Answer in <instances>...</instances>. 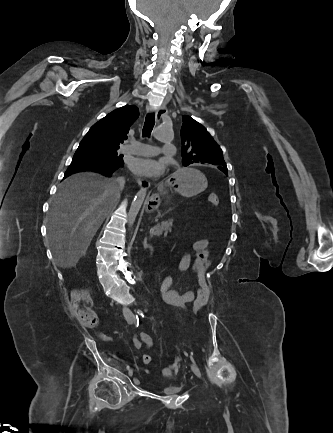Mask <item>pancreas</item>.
Listing matches in <instances>:
<instances>
[{
	"instance_id": "obj_1",
	"label": "pancreas",
	"mask_w": 333,
	"mask_h": 433,
	"mask_svg": "<svg viewBox=\"0 0 333 433\" xmlns=\"http://www.w3.org/2000/svg\"><path fill=\"white\" fill-rule=\"evenodd\" d=\"M173 224V219H169L166 221H162L159 224H156L153 228L159 232V234L164 232V235L167 236L168 232H171Z\"/></svg>"
}]
</instances>
